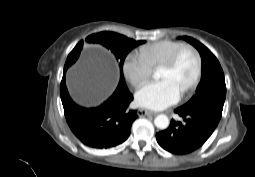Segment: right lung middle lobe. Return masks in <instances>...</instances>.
I'll list each match as a JSON object with an SVG mask.
<instances>
[{
    "label": "right lung middle lobe",
    "instance_id": "right-lung-middle-lobe-1",
    "mask_svg": "<svg viewBox=\"0 0 255 177\" xmlns=\"http://www.w3.org/2000/svg\"><path fill=\"white\" fill-rule=\"evenodd\" d=\"M87 42H92V43H99L106 48L110 49L111 52L115 55L117 60L119 61V66H120V84L126 85L125 80L123 77V63L125 60L126 55L132 50L134 47L143 44L145 41H135L133 39L127 38L124 35H120L118 33L114 32H100L96 34H92L89 37L86 38ZM83 46V41L79 43V48L75 51L74 56L69 54L66 63H65V68L69 67L71 64H73L77 58L79 57L80 51Z\"/></svg>",
    "mask_w": 255,
    "mask_h": 177
}]
</instances>
